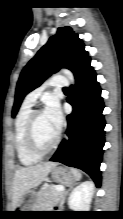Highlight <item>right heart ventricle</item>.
Here are the masks:
<instances>
[{"mask_svg":"<svg viewBox=\"0 0 123 219\" xmlns=\"http://www.w3.org/2000/svg\"><path fill=\"white\" fill-rule=\"evenodd\" d=\"M32 111V105L23 103L15 120L14 145L18 160L24 166L34 165L40 159L29 151L26 144V126Z\"/></svg>","mask_w":123,"mask_h":219,"instance_id":"obj_1","label":"right heart ventricle"}]
</instances>
